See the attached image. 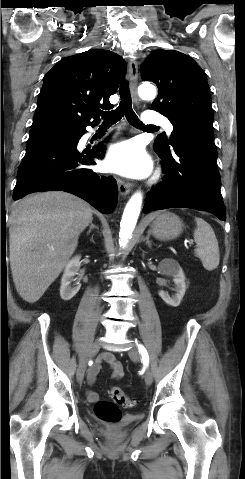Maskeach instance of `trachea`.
<instances>
[{
  "mask_svg": "<svg viewBox=\"0 0 245 479\" xmlns=\"http://www.w3.org/2000/svg\"><path fill=\"white\" fill-rule=\"evenodd\" d=\"M120 103L115 110L111 111H101L100 115L102 116L103 123L105 125H113L120 121L122 117H126L130 125L138 128L144 129H154L156 127L151 125H143L142 122L138 119L137 115L132 108L131 94L129 90L128 83L126 81L122 82L120 86Z\"/></svg>",
  "mask_w": 245,
  "mask_h": 479,
  "instance_id": "3493384b",
  "label": "trachea"
}]
</instances>
